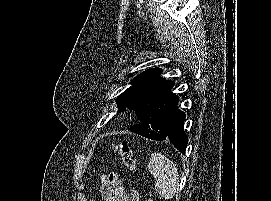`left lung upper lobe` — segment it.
<instances>
[{
  "label": "left lung upper lobe",
  "instance_id": "1",
  "mask_svg": "<svg viewBox=\"0 0 271 201\" xmlns=\"http://www.w3.org/2000/svg\"><path fill=\"white\" fill-rule=\"evenodd\" d=\"M161 72L154 68L139 74L116 101L120 111L128 108L136 113L140 135L153 140L166 135L178 101L171 92L174 82L161 78Z\"/></svg>",
  "mask_w": 271,
  "mask_h": 201
}]
</instances>
